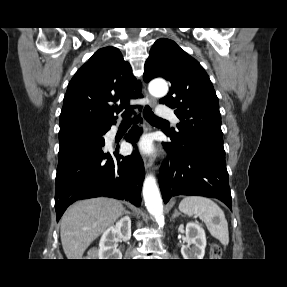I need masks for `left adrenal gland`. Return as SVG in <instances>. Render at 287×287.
Returning <instances> with one entry per match:
<instances>
[{"label": "left adrenal gland", "instance_id": "obj_1", "mask_svg": "<svg viewBox=\"0 0 287 287\" xmlns=\"http://www.w3.org/2000/svg\"><path fill=\"white\" fill-rule=\"evenodd\" d=\"M181 213L177 210V209H175L174 210V213H173V215H172V218H175L176 216H179Z\"/></svg>", "mask_w": 287, "mask_h": 287}]
</instances>
